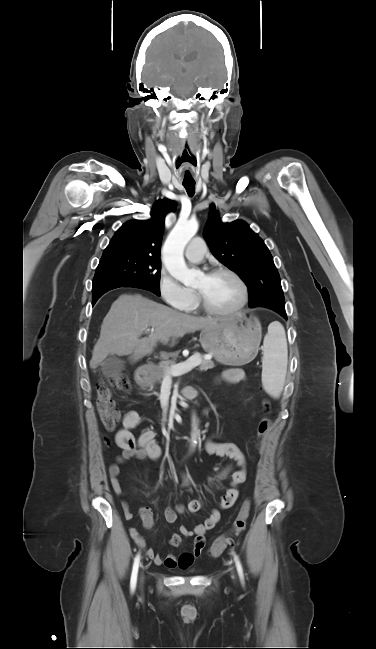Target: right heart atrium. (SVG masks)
Wrapping results in <instances>:
<instances>
[{
    "mask_svg": "<svg viewBox=\"0 0 376 649\" xmlns=\"http://www.w3.org/2000/svg\"><path fill=\"white\" fill-rule=\"evenodd\" d=\"M158 292L166 304L177 309H184L194 297L189 289L182 286L165 269H162L159 274Z\"/></svg>",
    "mask_w": 376,
    "mask_h": 649,
    "instance_id": "1",
    "label": "right heart atrium"
}]
</instances>
